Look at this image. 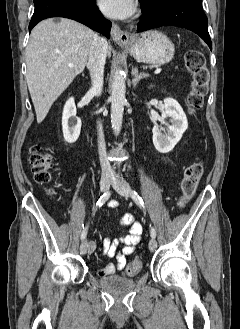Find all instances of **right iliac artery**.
Listing matches in <instances>:
<instances>
[{
    "label": "right iliac artery",
    "instance_id": "right-iliac-artery-1",
    "mask_svg": "<svg viewBox=\"0 0 240 329\" xmlns=\"http://www.w3.org/2000/svg\"><path fill=\"white\" fill-rule=\"evenodd\" d=\"M110 194L111 192L110 191H107L105 192L101 197L100 199L97 201L96 203V209L97 207H101L110 197ZM87 229H88V226H86L85 228L83 227V231L81 233V240H84L86 238V235H87Z\"/></svg>",
    "mask_w": 240,
    "mask_h": 329
}]
</instances>
